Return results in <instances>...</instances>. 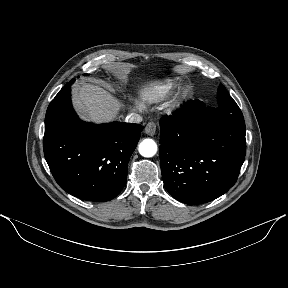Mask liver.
<instances>
[{
    "label": "liver",
    "instance_id": "liver-1",
    "mask_svg": "<svg viewBox=\"0 0 288 288\" xmlns=\"http://www.w3.org/2000/svg\"><path fill=\"white\" fill-rule=\"evenodd\" d=\"M76 109L82 118L101 123L114 120L121 104L103 88L85 83L77 88Z\"/></svg>",
    "mask_w": 288,
    "mask_h": 288
}]
</instances>
